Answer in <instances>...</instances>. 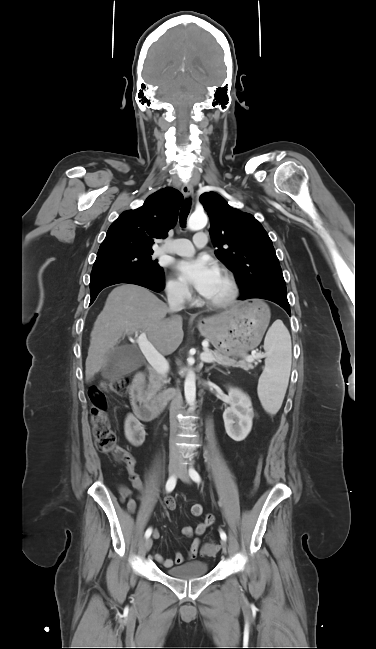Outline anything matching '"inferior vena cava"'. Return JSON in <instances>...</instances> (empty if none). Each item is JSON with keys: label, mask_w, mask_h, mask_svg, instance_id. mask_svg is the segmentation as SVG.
Returning <instances> with one entry per match:
<instances>
[{"label": "inferior vena cava", "mask_w": 376, "mask_h": 649, "mask_svg": "<svg viewBox=\"0 0 376 649\" xmlns=\"http://www.w3.org/2000/svg\"><path fill=\"white\" fill-rule=\"evenodd\" d=\"M186 290L185 285H178L173 288H170L167 293V299H168V304L169 307L172 311H180L184 308V293ZM173 400H172V410L175 411L179 408H181L182 404V398L179 393H175L172 395ZM176 430H177V423L172 417L171 419V438H170V454L171 455H180L181 449L176 445Z\"/></svg>", "instance_id": "602c4592"}]
</instances>
